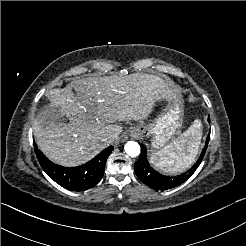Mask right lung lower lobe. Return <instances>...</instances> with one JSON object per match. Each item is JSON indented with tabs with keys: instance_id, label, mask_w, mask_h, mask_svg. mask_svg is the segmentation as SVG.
I'll return each mask as SVG.
<instances>
[{
	"instance_id": "obj_1",
	"label": "right lung lower lobe",
	"mask_w": 246,
	"mask_h": 246,
	"mask_svg": "<svg viewBox=\"0 0 246 246\" xmlns=\"http://www.w3.org/2000/svg\"><path fill=\"white\" fill-rule=\"evenodd\" d=\"M34 147L37 158L45 172L59 185L73 191L90 189L101 180L107 158L113 150V147L110 146L86 164L67 168L52 163L36 145Z\"/></svg>"
}]
</instances>
